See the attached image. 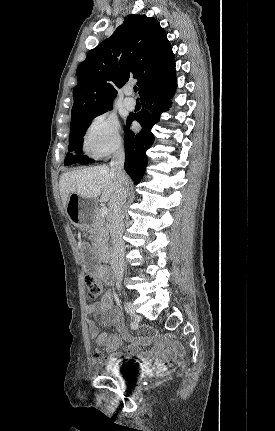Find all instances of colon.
<instances>
[{
    "mask_svg": "<svg viewBox=\"0 0 275 431\" xmlns=\"http://www.w3.org/2000/svg\"><path fill=\"white\" fill-rule=\"evenodd\" d=\"M87 295L90 300H97L103 293L105 285L104 282L96 275L90 273L85 277ZM166 370H158V373H162Z\"/></svg>",
    "mask_w": 275,
    "mask_h": 431,
    "instance_id": "obj_1",
    "label": "colon"
}]
</instances>
